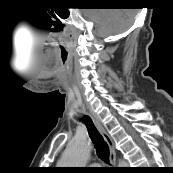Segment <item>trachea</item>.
<instances>
[{"label": "trachea", "instance_id": "obj_1", "mask_svg": "<svg viewBox=\"0 0 173 173\" xmlns=\"http://www.w3.org/2000/svg\"><path fill=\"white\" fill-rule=\"evenodd\" d=\"M83 122L86 124L89 136L94 143L96 153L98 157L104 161V162H109V147L102 135L99 133L97 128L95 127L94 123L88 116L83 117Z\"/></svg>", "mask_w": 173, "mask_h": 173}]
</instances>
